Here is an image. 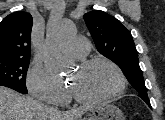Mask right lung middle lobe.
Masks as SVG:
<instances>
[{"mask_svg": "<svg viewBox=\"0 0 165 120\" xmlns=\"http://www.w3.org/2000/svg\"><path fill=\"white\" fill-rule=\"evenodd\" d=\"M30 59L0 58V86L27 94L26 73Z\"/></svg>", "mask_w": 165, "mask_h": 120, "instance_id": "dd1d6c3e", "label": "right lung middle lobe"}]
</instances>
